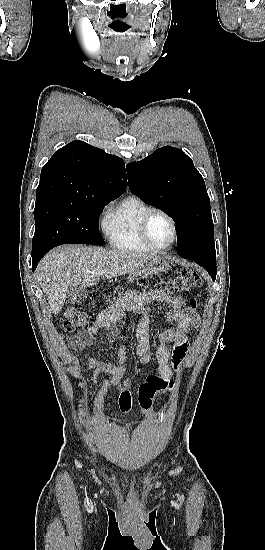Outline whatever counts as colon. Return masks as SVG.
Wrapping results in <instances>:
<instances>
[{
	"label": "colon",
	"instance_id": "obj_1",
	"mask_svg": "<svg viewBox=\"0 0 265 550\" xmlns=\"http://www.w3.org/2000/svg\"><path fill=\"white\" fill-rule=\"evenodd\" d=\"M201 282L200 277L194 270L183 268L179 270L174 277L164 282L163 290L167 293L189 291L199 287ZM121 293V289H116L108 296V299L112 301ZM190 305L192 308L196 307L195 298L190 299ZM63 327L67 332L87 329L89 327V317L81 309L70 306L64 311ZM168 388L169 384L160 376H151L140 384L136 393V401L139 408L146 416H156L153 408L154 399L157 395L165 393V390Z\"/></svg>",
	"mask_w": 265,
	"mask_h": 550
}]
</instances>
